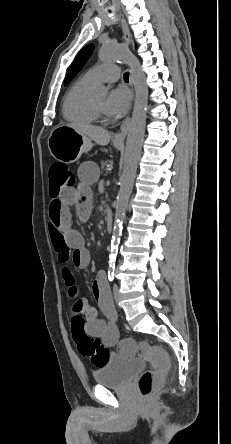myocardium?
<instances>
[{
  "label": "myocardium",
  "mask_w": 231,
  "mask_h": 444,
  "mask_svg": "<svg viewBox=\"0 0 231 444\" xmlns=\"http://www.w3.org/2000/svg\"><path fill=\"white\" fill-rule=\"evenodd\" d=\"M91 106H92L93 112L95 113V115H96L97 118H100V119H106L104 113H103L102 111H100V110L94 105L93 102H91Z\"/></svg>",
  "instance_id": "1"
}]
</instances>
